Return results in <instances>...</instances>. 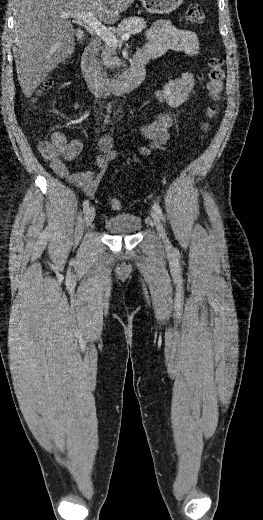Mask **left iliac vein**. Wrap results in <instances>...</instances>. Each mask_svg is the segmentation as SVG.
I'll return each instance as SVG.
<instances>
[{
	"label": "left iliac vein",
	"instance_id": "1",
	"mask_svg": "<svg viewBox=\"0 0 263 520\" xmlns=\"http://www.w3.org/2000/svg\"><path fill=\"white\" fill-rule=\"evenodd\" d=\"M151 217H152V220H153V224L155 225V227H156V229L158 231L159 237L162 239V241L164 243H167L168 239H167L164 227H163V225L161 223V220H160V218L158 216V213L155 210H151Z\"/></svg>",
	"mask_w": 263,
	"mask_h": 520
}]
</instances>
